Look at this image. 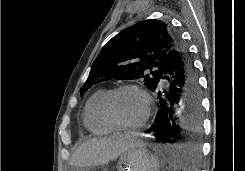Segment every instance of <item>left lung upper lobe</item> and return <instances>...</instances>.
<instances>
[{
    "label": "left lung upper lobe",
    "mask_w": 245,
    "mask_h": 171,
    "mask_svg": "<svg viewBox=\"0 0 245 171\" xmlns=\"http://www.w3.org/2000/svg\"><path fill=\"white\" fill-rule=\"evenodd\" d=\"M182 44L179 35L161 20H143L122 30L100 51L80 96L109 79L144 78L145 85L155 91L168 55Z\"/></svg>",
    "instance_id": "5c2ea615"
}]
</instances>
